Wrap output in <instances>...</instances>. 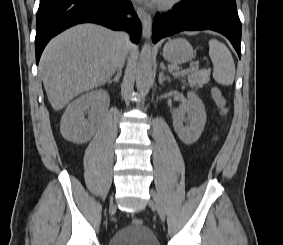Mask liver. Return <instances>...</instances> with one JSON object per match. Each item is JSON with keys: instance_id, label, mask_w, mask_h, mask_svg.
<instances>
[{"instance_id": "obj_1", "label": "liver", "mask_w": 283, "mask_h": 245, "mask_svg": "<svg viewBox=\"0 0 283 245\" xmlns=\"http://www.w3.org/2000/svg\"><path fill=\"white\" fill-rule=\"evenodd\" d=\"M132 49L119 33L95 24L72 27L52 39L39 64L48 100L63 109L74 97L105 84Z\"/></svg>"}]
</instances>
